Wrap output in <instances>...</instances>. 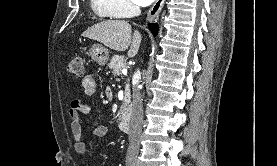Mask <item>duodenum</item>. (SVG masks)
Returning <instances> with one entry per match:
<instances>
[{"instance_id": "1", "label": "duodenum", "mask_w": 277, "mask_h": 166, "mask_svg": "<svg viewBox=\"0 0 277 166\" xmlns=\"http://www.w3.org/2000/svg\"><path fill=\"white\" fill-rule=\"evenodd\" d=\"M120 129L124 132H129L131 129V115L125 113L120 120Z\"/></svg>"}]
</instances>
